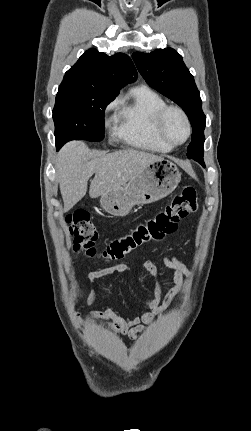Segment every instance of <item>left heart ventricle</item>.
<instances>
[{
    "label": "left heart ventricle",
    "instance_id": "left-heart-ventricle-1",
    "mask_svg": "<svg viewBox=\"0 0 251 431\" xmlns=\"http://www.w3.org/2000/svg\"><path fill=\"white\" fill-rule=\"evenodd\" d=\"M164 130L167 137L176 143L182 142L187 134L186 124L182 116L175 111H171L164 122Z\"/></svg>",
    "mask_w": 251,
    "mask_h": 431
}]
</instances>
